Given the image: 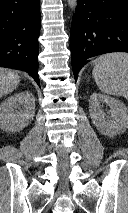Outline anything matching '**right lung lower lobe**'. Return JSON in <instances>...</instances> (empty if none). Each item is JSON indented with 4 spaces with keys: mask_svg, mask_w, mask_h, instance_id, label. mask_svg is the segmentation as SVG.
<instances>
[{
    "mask_svg": "<svg viewBox=\"0 0 128 213\" xmlns=\"http://www.w3.org/2000/svg\"><path fill=\"white\" fill-rule=\"evenodd\" d=\"M39 0H0V67L38 75Z\"/></svg>",
    "mask_w": 128,
    "mask_h": 213,
    "instance_id": "obj_1",
    "label": "right lung lower lobe"
}]
</instances>
